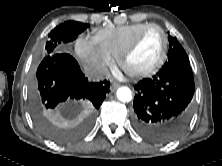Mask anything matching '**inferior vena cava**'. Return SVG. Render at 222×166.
Returning <instances> with one entry per match:
<instances>
[{
  "label": "inferior vena cava",
  "instance_id": "602c4592",
  "mask_svg": "<svg viewBox=\"0 0 222 166\" xmlns=\"http://www.w3.org/2000/svg\"><path fill=\"white\" fill-rule=\"evenodd\" d=\"M85 76L94 81H100L110 77V72L105 67H86Z\"/></svg>",
  "mask_w": 222,
  "mask_h": 166
}]
</instances>
